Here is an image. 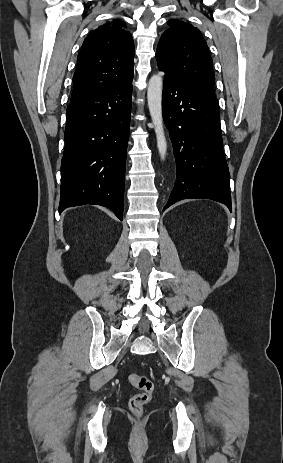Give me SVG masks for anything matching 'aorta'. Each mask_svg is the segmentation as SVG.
<instances>
[{"label":"aorta","mask_w":283,"mask_h":463,"mask_svg":"<svg viewBox=\"0 0 283 463\" xmlns=\"http://www.w3.org/2000/svg\"><path fill=\"white\" fill-rule=\"evenodd\" d=\"M162 89L163 79L160 74L153 75L148 83L147 101L152 123L157 139V148L162 160L167 152V141L165 138L162 117Z\"/></svg>","instance_id":"1"}]
</instances>
